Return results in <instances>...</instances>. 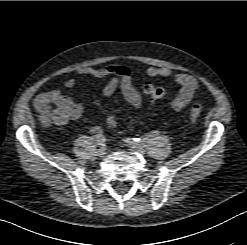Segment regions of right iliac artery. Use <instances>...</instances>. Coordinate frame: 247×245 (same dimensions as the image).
<instances>
[{
	"instance_id": "1",
	"label": "right iliac artery",
	"mask_w": 247,
	"mask_h": 245,
	"mask_svg": "<svg viewBox=\"0 0 247 245\" xmlns=\"http://www.w3.org/2000/svg\"><path fill=\"white\" fill-rule=\"evenodd\" d=\"M96 142H97V145H99L100 147H103L105 145L104 135L103 134L96 135Z\"/></svg>"
}]
</instances>
